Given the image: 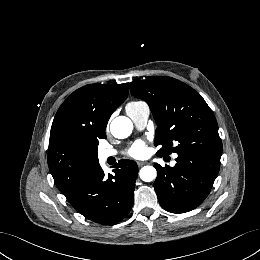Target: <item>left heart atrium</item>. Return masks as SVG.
Segmentation results:
<instances>
[{"mask_svg":"<svg viewBox=\"0 0 260 260\" xmlns=\"http://www.w3.org/2000/svg\"><path fill=\"white\" fill-rule=\"evenodd\" d=\"M145 144L143 141L135 142L128 150V154L132 157L138 158L145 154Z\"/></svg>","mask_w":260,"mask_h":260,"instance_id":"left-heart-atrium-1","label":"left heart atrium"}]
</instances>
